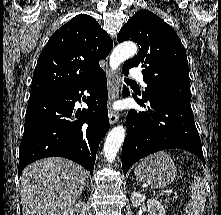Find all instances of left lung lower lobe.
I'll return each instance as SVG.
<instances>
[{"mask_svg": "<svg viewBox=\"0 0 221 215\" xmlns=\"http://www.w3.org/2000/svg\"><path fill=\"white\" fill-rule=\"evenodd\" d=\"M122 71L128 75V70ZM123 95L128 96V90H124ZM133 97L148 111L130 110L127 116L128 133L122 147L124 175L133 163L164 149H184L197 155L204 163L190 104L158 96L149 97L147 100L136 95Z\"/></svg>", "mask_w": 221, "mask_h": 215, "instance_id": "obj_1", "label": "left lung lower lobe"}]
</instances>
